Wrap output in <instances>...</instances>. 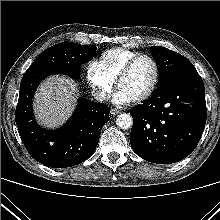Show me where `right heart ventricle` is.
<instances>
[{
    "label": "right heart ventricle",
    "mask_w": 220,
    "mask_h": 220,
    "mask_svg": "<svg viewBox=\"0 0 220 220\" xmlns=\"http://www.w3.org/2000/svg\"><path fill=\"white\" fill-rule=\"evenodd\" d=\"M137 54L126 48H111L102 53L100 61L107 73L115 79L127 61Z\"/></svg>",
    "instance_id": "1"
}]
</instances>
